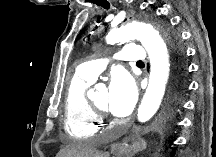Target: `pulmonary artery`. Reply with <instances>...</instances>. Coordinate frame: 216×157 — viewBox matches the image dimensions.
<instances>
[{"mask_svg":"<svg viewBox=\"0 0 216 157\" xmlns=\"http://www.w3.org/2000/svg\"><path fill=\"white\" fill-rule=\"evenodd\" d=\"M113 59L119 62L143 61L146 58L144 49L139 45H126L119 52L114 54ZM108 58L93 59L79 65L76 73L81 77L94 81L102 73L107 65Z\"/></svg>","mask_w":216,"mask_h":157,"instance_id":"obj_1","label":"pulmonary artery"}]
</instances>
